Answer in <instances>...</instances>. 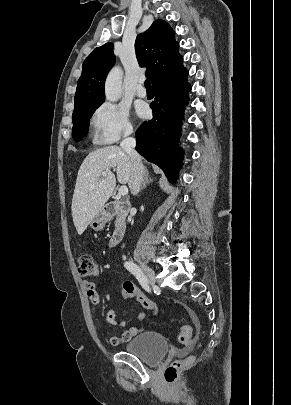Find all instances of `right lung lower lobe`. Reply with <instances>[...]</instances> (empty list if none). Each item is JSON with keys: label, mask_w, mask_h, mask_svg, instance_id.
I'll list each match as a JSON object with an SVG mask.
<instances>
[{"label": "right lung lower lobe", "mask_w": 291, "mask_h": 405, "mask_svg": "<svg viewBox=\"0 0 291 405\" xmlns=\"http://www.w3.org/2000/svg\"><path fill=\"white\" fill-rule=\"evenodd\" d=\"M187 75L185 69L153 86V119L143 122L136 132V150L149 162L158 165L171 183L177 180L182 167L183 150L178 143L191 90Z\"/></svg>", "instance_id": "obj_1"}]
</instances>
